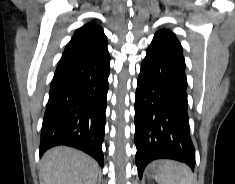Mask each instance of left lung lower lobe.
Wrapping results in <instances>:
<instances>
[{
	"label": "left lung lower lobe",
	"instance_id": "0a47b994",
	"mask_svg": "<svg viewBox=\"0 0 235 184\" xmlns=\"http://www.w3.org/2000/svg\"><path fill=\"white\" fill-rule=\"evenodd\" d=\"M185 69L178 40L153 38L141 64L135 99V159L140 178L156 159L184 162L194 170Z\"/></svg>",
	"mask_w": 235,
	"mask_h": 184
}]
</instances>
